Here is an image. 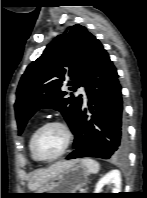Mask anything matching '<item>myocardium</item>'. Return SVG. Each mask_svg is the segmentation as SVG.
I'll list each match as a JSON object with an SVG mask.
<instances>
[{
    "label": "myocardium",
    "mask_w": 147,
    "mask_h": 198,
    "mask_svg": "<svg viewBox=\"0 0 147 198\" xmlns=\"http://www.w3.org/2000/svg\"><path fill=\"white\" fill-rule=\"evenodd\" d=\"M51 126H57V127H60L64 134H65V143H64V146L62 148V150L52 156V157H42L38 152H37V149H36V140H37V137L39 136V134L46 128L48 127H51ZM72 138H73V135H72V131L70 129V127L63 121H59V120H53V121H48L44 124H42L40 127H38L33 135H32V138H31V144H30V147H31V151H32V154L34 155V157L38 160V161H42V162H51V161H54L58 158H60L61 156H63L66 151L68 150L71 142H72Z\"/></svg>",
    "instance_id": "1"
}]
</instances>
